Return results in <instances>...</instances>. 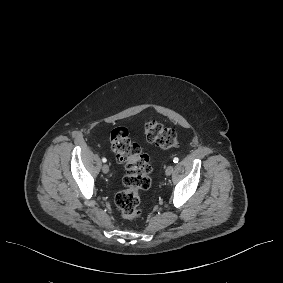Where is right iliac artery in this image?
<instances>
[{
    "label": "right iliac artery",
    "mask_w": 283,
    "mask_h": 283,
    "mask_svg": "<svg viewBox=\"0 0 283 283\" xmlns=\"http://www.w3.org/2000/svg\"><path fill=\"white\" fill-rule=\"evenodd\" d=\"M102 161L105 163L107 160H106V158H102Z\"/></svg>",
    "instance_id": "right-iliac-artery-1"
}]
</instances>
